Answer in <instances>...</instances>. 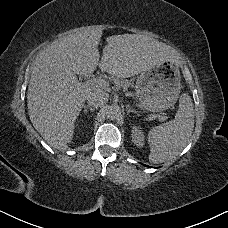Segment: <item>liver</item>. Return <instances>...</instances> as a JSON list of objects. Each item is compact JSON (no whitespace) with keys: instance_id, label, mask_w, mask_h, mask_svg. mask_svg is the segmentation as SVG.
Masks as SVG:
<instances>
[{"instance_id":"6515ba94","label":"liver","mask_w":228,"mask_h":228,"mask_svg":"<svg viewBox=\"0 0 228 228\" xmlns=\"http://www.w3.org/2000/svg\"><path fill=\"white\" fill-rule=\"evenodd\" d=\"M102 30L90 29L55 41L33 62L27 90L30 123L53 149L64 150L75 138L76 126L90 92L101 87L78 82L97 67L126 79L162 63L178 62L175 49L145 35L119 34L106 38L99 53Z\"/></svg>"}]
</instances>
